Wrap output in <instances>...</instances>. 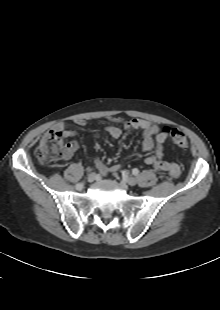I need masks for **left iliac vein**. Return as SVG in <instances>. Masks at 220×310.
I'll return each instance as SVG.
<instances>
[{"label":"left iliac vein","mask_w":220,"mask_h":310,"mask_svg":"<svg viewBox=\"0 0 220 310\" xmlns=\"http://www.w3.org/2000/svg\"><path fill=\"white\" fill-rule=\"evenodd\" d=\"M126 182H127L130 186H134V185H136L137 180H136L134 177L129 176V177L126 178Z\"/></svg>","instance_id":"1"}]
</instances>
